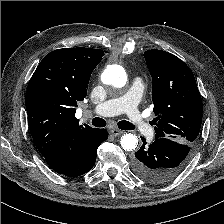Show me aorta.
Masks as SVG:
<instances>
[{
	"label": "aorta",
	"instance_id": "aorta-1",
	"mask_svg": "<svg viewBox=\"0 0 224 224\" xmlns=\"http://www.w3.org/2000/svg\"><path fill=\"white\" fill-rule=\"evenodd\" d=\"M102 82L114 89H121L125 86L127 75L124 68L120 65H109L103 71ZM121 146L126 151L135 150L138 145V137L134 134H124L120 140Z\"/></svg>",
	"mask_w": 224,
	"mask_h": 224
}]
</instances>
